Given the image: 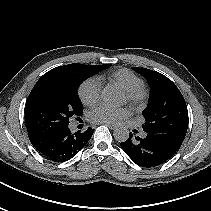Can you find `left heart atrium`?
Returning a JSON list of instances; mask_svg holds the SVG:
<instances>
[{"mask_svg": "<svg viewBox=\"0 0 211 211\" xmlns=\"http://www.w3.org/2000/svg\"><path fill=\"white\" fill-rule=\"evenodd\" d=\"M128 115L129 110L126 107H112L101 104L91 110L89 118L94 123H116Z\"/></svg>", "mask_w": 211, "mask_h": 211, "instance_id": "obj_1", "label": "left heart atrium"}]
</instances>
